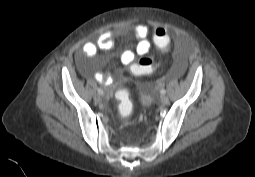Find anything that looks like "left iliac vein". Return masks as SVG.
<instances>
[{
    "mask_svg": "<svg viewBox=\"0 0 255 177\" xmlns=\"http://www.w3.org/2000/svg\"><path fill=\"white\" fill-rule=\"evenodd\" d=\"M160 101L162 105H167L169 103V98L165 95H162Z\"/></svg>",
    "mask_w": 255,
    "mask_h": 177,
    "instance_id": "left-iliac-vein-1",
    "label": "left iliac vein"
}]
</instances>
